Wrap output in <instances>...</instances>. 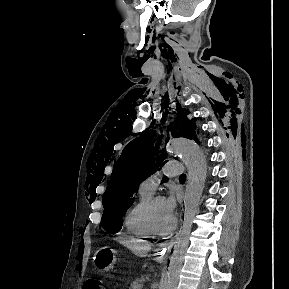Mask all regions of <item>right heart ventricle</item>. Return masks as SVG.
Listing matches in <instances>:
<instances>
[{"instance_id": "obj_1", "label": "right heart ventricle", "mask_w": 289, "mask_h": 289, "mask_svg": "<svg viewBox=\"0 0 289 289\" xmlns=\"http://www.w3.org/2000/svg\"><path fill=\"white\" fill-rule=\"evenodd\" d=\"M153 194L139 189L137 198L128 208L124 217V225L128 233L140 238H150L153 235L147 229L143 220V213L146 203Z\"/></svg>"}]
</instances>
